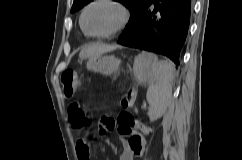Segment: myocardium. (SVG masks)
<instances>
[{
    "instance_id": "f54148a6",
    "label": "myocardium",
    "mask_w": 242,
    "mask_h": 160,
    "mask_svg": "<svg viewBox=\"0 0 242 160\" xmlns=\"http://www.w3.org/2000/svg\"><path fill=\"white\" fill-rule=\"evenodd\" d=\"M101 3L111 4V5L115 6L117 9H119V11L121 13V21L118 26H116L114 29H112L106 33L93 34V33H90L85 27V24H84L85 14L92 6L101 4ZM129 20H130V11L122 1H120V0H92L83 8V10L81 12L80 26H81L82 31L87 36H89L91 38H95V39H105V38H109V37H112V36H115V35L121 33L128 25Z\"/></svg>"
}]
</instances>
